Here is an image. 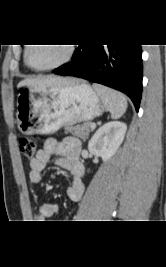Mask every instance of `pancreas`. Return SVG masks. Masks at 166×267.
Segmentation results:
<instances>
[{
	"label": "pancreas",
	"instance_id": "1",
	"mask_svg": "<svg viewBox=\"0 0 166 267\" xmlns=\"http://www.w3.org/2000/svg\"><path fill=\"white\" fill-rule=\"evenodd\" d=\"M90 125L91 123L86 122L83 124H79L76 126H66L65 133H71L74 136L80 137L81 139L85 140L90 134Z\"/></svg>",
	"mask_w": 166,
	"mask_h": 267
}]
</instances>
